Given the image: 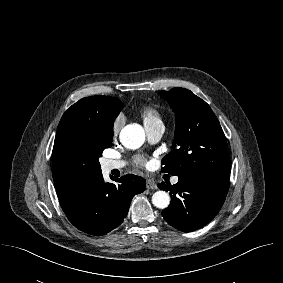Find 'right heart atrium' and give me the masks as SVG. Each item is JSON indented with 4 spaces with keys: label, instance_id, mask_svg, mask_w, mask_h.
<instances>
[{
    "label": "right heart atrium",
    "instance_id": "obj_1",
    "mask_svg": "<svg viewBox=\"0 0 283 283\" xmlns=\"http://www.w3.org/2000/svg\"><path fill=\"white\" fill-rule=\"evenodd\" d=\"M125 123V118L123 115H119L116 117L113 123V133L117 134Z\"/></svg>",
    "mask_w": 283,
    "mask_h": 283
}]
</instances>
